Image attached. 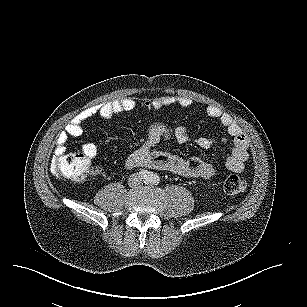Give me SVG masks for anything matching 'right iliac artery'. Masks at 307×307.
Segmentation results:
<instances>
[{
    "mask_svg": "<svg viewBox=\"0 0 307 307\" xmlns=\"http://www.w3.org/2000/svg\"><path fill=\"white\" fill-rule=\"evenodd\" d=\"M140 173L145 177V176H147V173H148V172H147V170H143V169H142V170L140 171Z\"/></svg>",
    "mask_w": 307,
    "mask_h": 307,
    "instance_id": "right-iliac-artery-1",
    "label": "right iliac artery"
}]
</instances>
